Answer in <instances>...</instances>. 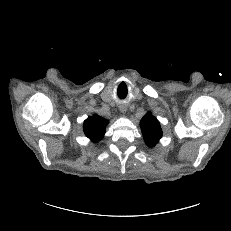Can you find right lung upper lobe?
I'll use <instances>...</instances> for the list:
<instances>
[{
	"mask_svg": "<svg viewBox=\"0 0 231 231\" xmlns=\"http://www.w3.org/2000/svg\"><path fill=\"white\" fill-rule=\"evenodd\" d=\"M107 124L106 119L94 114L84 121V133L90 140L97 142L103 138Z\"/></svg>",
	"mask_w": 231,
	"mask_h": 231,
	"instance_id": "obj_1",
	"label": "right lung upper lobe"
}]
</instances>
